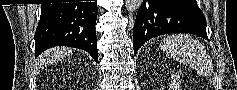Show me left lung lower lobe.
<instances>
[{
	"mask_svg": "<svg viewBox=\"0 0 237 90\" xmlns=\"http://www.w3.org/2000/svg\"><path fill=\"white\" fill-rule=\"evenodd\" d=\"M170 33L208 39L206 19L196 0H144L133 29L134 53L149 39Z\"/></svg>",
	"mask_w": 237,
	"mask_h": 90,
	"instance_id": "0a47b994",
	"label": "left lung lower lobe"
}]
</instances>
